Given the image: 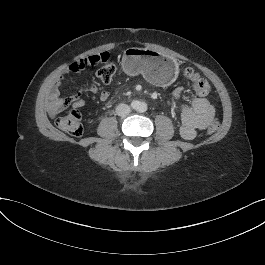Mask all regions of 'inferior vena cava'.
<instances>
[{
	"label": "inferior vena cava",
	"mask_w": 265,
	"mask_h": 265,
	"mask_svg": "<svg viewBox=\"0 0 265 265\" xmlns=\"http://www.w3.org/2000/svg\"><path fill=\"white\" fill-rule=\"evenodd\" d=\"M131 112L130 106L127 104H119L116 108V113L119 116H126Z\"/></svg>",
	"instance_id": "1"
}]
</instances>
